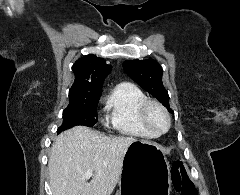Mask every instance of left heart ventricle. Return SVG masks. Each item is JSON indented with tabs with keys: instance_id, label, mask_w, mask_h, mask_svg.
<instances>
[{
	"instance_id": "left-heart-ventricle-1",
	"label": "left heart ventricle",
	"mask_w": 240,
	"mask_h": 195,
	"mask_svg": "<svg viewBox=\"0 0 240 195\" xmlns=\"http://www.w3.org/2000/svg\"><path fill=\"white\" fill-rule=\"evenodd\" d=\"M150 121L157 130H163L166 126L164 115L156 108L150 111Z\"/></svg>"
}]
</instances>
